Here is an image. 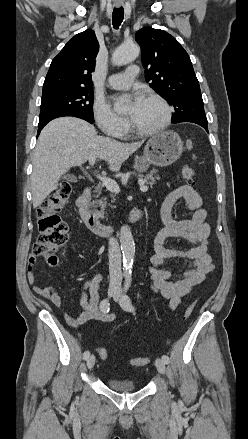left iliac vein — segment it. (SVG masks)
Returning a JSON list of instances; mask_svg holds the SVG:
<instances>
[{"label": "left iliac vein", "instance_id": "1", "mask_svg": "<svg viewBox=\"0 0 248 439\" xmlns=\"http://www.w3.org/2000/svg\"><path fill=\"white\" fill-rule=\"evenodd\" d=\"M114 299H115V301L121 303V295H120V293H117V294L114 296ZM155 366H156L157 370H158L161 374H165V372H166V366H165V362H164L162 359L157 358V359L155 360Z\"/></svg>", "mask_w": 248, "mask_h": 439}]
</instances>
